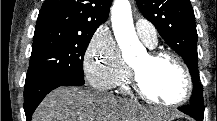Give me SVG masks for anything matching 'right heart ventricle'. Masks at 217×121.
I'll return each mask as SVG.
<instances>
[{
    "mask_svg": "<svg viewBox=\"0 0 217 121\" xmlns=\"http://www.w3.org/2000/svg\"><path fill=\"white\" fill-rule=\"evenodd\" d=\"M118 86H120V91L122 93H130V91H131V77H130L129 71L120 80V82L118 83Z\"/></svg>",
    "mask_w": 217,
    "mask_h": 121,
    "instance_id": "1",
    "label": "right heart ventricle"
}]
</instances>
